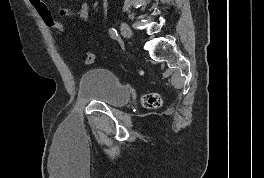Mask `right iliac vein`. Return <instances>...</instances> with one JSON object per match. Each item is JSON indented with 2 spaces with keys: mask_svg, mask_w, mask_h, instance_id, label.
<instances>
[{
  "mask_svg": "<svg viewBox=\"0 0 264 178\" xmlns=\"http://www.w3.org/2000/svg\"><path fill=\"white\" fill-rule=\"evenodd\" d=\"M120 29H121L122 35L125 38L129 39L133 36L132 31L126 22L121 23Z\"/></svg>",
  "mask_w": 264,
  "mask_h": 178,
  "instance_id": "1",
  "label": "right iliac vein"
}]
</instances>
